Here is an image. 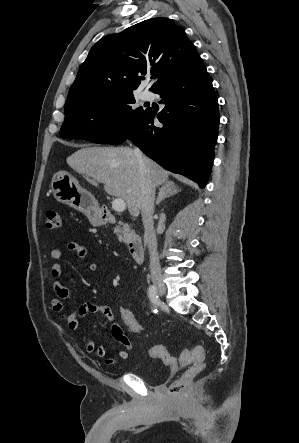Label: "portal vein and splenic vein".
I'll use <instances>...</instances> for the list:
<instances>
[{
	"label": "portal vein and splenic vein",
	"instance_id": "portal-vein-and-splenic-vein-1",
	"mask_svg": "<svg viewBox=\"0 0 299 443\" xmlns=\"http://www.w3.org/2000/svg\"><path fill=\"white\" fill-rule=\"evenodd\" d=\"M112 208L116 212H123L126 209V203H125V201L123 199L116 198L112 202Z\"/></svg>",
	"mask_w": 299,
	"mask_h": 443
}]
</instances>
